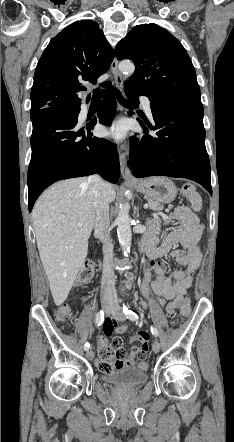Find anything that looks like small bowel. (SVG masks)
Returning a JSON list of instances; mask_svg holds the SVG:
<instances>
[{
    "label": "small bowel",
    "instance_id": "small-bowel-1",
    "mask_svg": "<svg viewBox=\"0 0 234 442\" xmlns=\"http://www.w3.org/2000/svg\"><path fill=\"white\" fill-rule=\"evenodd\" d=\"M201 210V199L190 198L189 205L181 204L163 220L153 218L148 221V231L144 238L149 241L147 251L148 260L144 263V278L142 291L146 298L155 299L165 304L168 314H173L185 303L186 290L191 286L192 273L199 267L201 253L199 242L201 239L203 225L197 216ZM177 221L178 226L171 230L160 245L156 244L157 234L163 223ZM181 246L179 248L178 246ZM168 255L175 259L180 265L185 266V270L174 271L171 276L166 275V267L160 259ZM153 278V279H152ZM155 297L149 290V284ZM144 307V306H143ZM102 325L106 336L116 334L110 343L106 338L99 339L100 348L110 345L119 350L123 341L120 335L126 332L127 324L117 326L115 319H104ZM149 334L145 331L139 332L129 338V342L140 341L139 347H133L125 360L126 366H134L135 357L142 361L148 358Z\"/></svg>",
    "mask_w": 234,
    "mask_h": 442
}]
</instances>
